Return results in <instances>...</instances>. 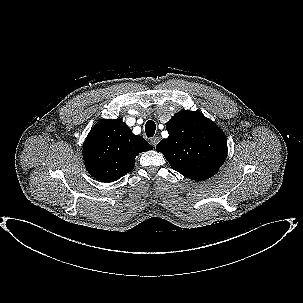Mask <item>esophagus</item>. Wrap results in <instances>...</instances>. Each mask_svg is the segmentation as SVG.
Instances as JSON below:
<instances>
[{
    "label": "esophagus",
    "instance_id": "34e87169",
    "mask_svg": "<svg viewBox=\"0 0 303 303\" xmlns=\"http://www.w3.org/2000/svg\"><path fill=\"white\" fill-rule=\"evenodd\" d=\"M158 142H159V137H153V138L150 139V143L153 147H156Z\"/></svg>",
    "mask_w": 303,
    "mask_h": 303
}]
</instances>
